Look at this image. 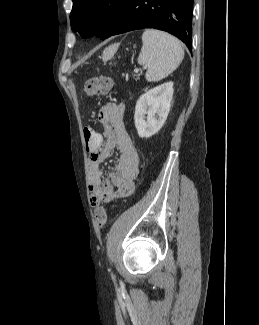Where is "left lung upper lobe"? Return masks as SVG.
Segmentation results:
<instances>
[{
	"mask_svg": "<svg viewBox=\"0 0 259 325\" xmlns=\"http://www.w3.org/2000/svg\"><path fill=\"white\" fill-rule=\"evenodd\" d=\"M71 28L86 38H107L122 12L125 0H72Z\"/></svg>",
	"mask_w": 259,
	"mask_h": 325,
	"instance_id": "obj_1",
	"label": "left lung upper lobe"
}]
</instances>
